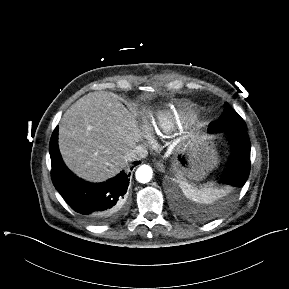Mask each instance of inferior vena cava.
<instances>
[{
    "label": "inferior vena cava",
    "instance_id": "1",
    "mask_svg": "<svg viewBox=\"0 0 289 289\" xmlns=\"http://www.w3.org/2000/svg\"><path fill=\"white\" fill-rule=\"evenodd\" d=\"M148 151L144 145H137L125 156L127 161H136L146 158Z\"/></svg>",
    "mask_w": 289,
    "mask_h": 289
}]
</instances>
